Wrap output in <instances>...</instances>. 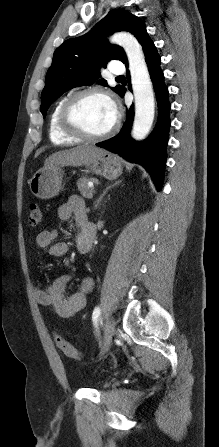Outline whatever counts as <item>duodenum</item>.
Returning a JSON list of instances; mask_svg holds the SVG:
<instances>
[{
  "label": "duodenum",
  "mask_w": 219,
  "mask_h": 447,
  "mask_svg": "<svg viewBox=\"0 0 219 447\" xmlns=\"http://www.w3.org/2000/svg\"><path fill=\"white\" fill-rule=\"evenodd\" d=\"M82 236L83 242L81 245L82 253H87L90 251L92 243L96 236L95 225L85 216L82 222Z\"/></svg>",
  "instance_id": "obj_1"
}]
</instances>
